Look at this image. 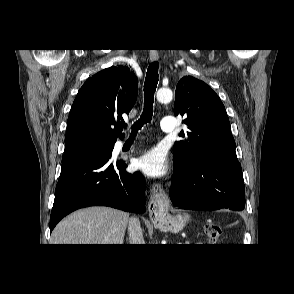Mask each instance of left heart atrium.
<instances>
[{"instance_id": "left-heart-atrium-1", "label": "left heart atrium", "mask_w": 294, "mask_h": 294, "mask_svg": "<svg viewBox=\"0 0 294 294\" xmlns=\"http://www.w3.org/2000/svg\"><path fill=\"white\" fill-rule=\"evenodd\" d=\"M137 166L149 176H162L168 170L166 152L161 147H154L138 158Z\"/></svg>"}]
</instances>
